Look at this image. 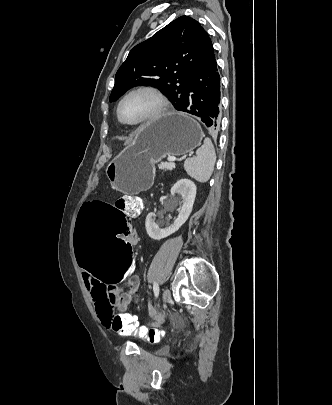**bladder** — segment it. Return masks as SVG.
<instances>
[{"label":"bladder","instance_id":"1","mask_svg":"<svg viewBox=\"0 0 332 405\" xmlns=\"http://www.w3.org/2000/svg\"><path fill=\"white\" fill-rule=\"evenodd\" d=\"M164 352V350H159L158 354H162Z\"/></svg>","mask_w":332,"mask_h":405}]
</instances>
